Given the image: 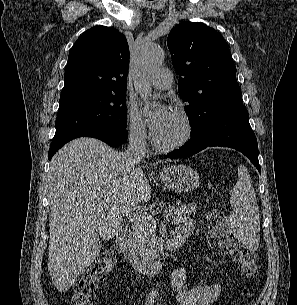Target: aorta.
I'll list each match as a JSON object with an SVG mask.
<instances>
[{
	"label": "aorta",
	"mask_w": 297,
	"mask_h": 305,
	"mask_svg": "<svg viewBox=\"0 0 297 305\" xmlns=\"http://www.w3.org/2000/svg\"><path fill=\"white\" fill-rule=\"evenodd\" d=\"M164 60V51L157 45H148L142 48L136 68H135V80L134 85L137 93L143 101L146 107L150 105V84L149 79L159 68ZM157 290L152 288L151 295L156 296Z\"/></svg>",
	"instance_id": "1"
}]
</instances>
